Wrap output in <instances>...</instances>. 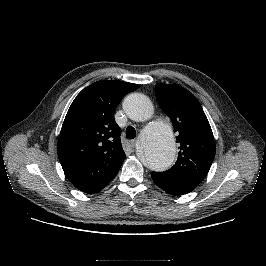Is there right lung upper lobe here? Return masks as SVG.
Segmentation results:
<instances>
[{
  "label": "right lung upper lobe",
  "instance_id": "cb5924a9",
  "mask_svg": "<svg viewBox=\"0 0 266 266\" xmlns=\"http://www.w3.org/2000/svg\"><path fill=\"white\" fill-rule=\"evenodd\" d=\"M137 88L133 83L101 80L83 89L72 102L57 152L66 177L77 189L99 192L118 173L126 155L114 112L122 97Z\"/></svg>",
  "mask_w": 266,
  "mask_h": 266
}]
</instances>
